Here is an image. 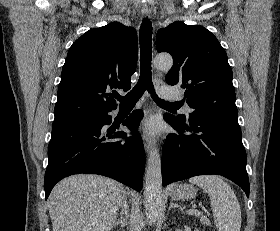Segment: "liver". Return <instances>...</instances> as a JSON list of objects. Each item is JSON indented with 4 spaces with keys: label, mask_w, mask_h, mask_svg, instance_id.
Listing matches in <instances>:
<instances>
[{
    "label": "liver",
    "mask_w": 280,
    "mask_h": 231,
    "mask_svg": "<svg viewBox=\"0 0 280 231\" xmlns=\"http://www.w3.org/2000/svg\"><path fill=\"white\" fill-rule=\"evenodd\" d=\"M122 183L103 175H70L53 187V231H110L125 197Z\"/></svg>",
    "instance_id": "6515ba94"
}]
</instances>
